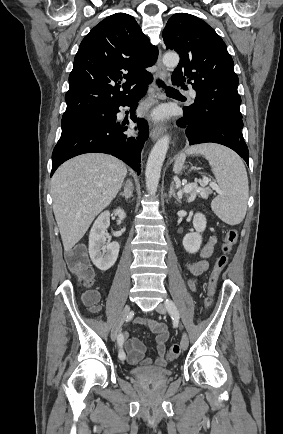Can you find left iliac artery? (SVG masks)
<instances>
[{"label": "left iliac artery", "mask_w": 283, "mask_h": 434, "mask_svg": "<svg viewBox=\"0 0 283 434\" xmlns=\"http://www.w3.org/2000/svg\"><path fill=\"white\" fill-rule=\"evenodd\" d=\"M165 306L173 318H179L180 316L179 311L175 303L171 299H166Z\"/></svg>", "instance_id": "44dca946"}]
</instances>
